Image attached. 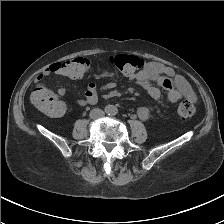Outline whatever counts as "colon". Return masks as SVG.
<instances>
[{
	"label": "colon",
	"instance_id": "5ec220e1",
	"mask_svg": "<svg viewBox=\"0 0 224 224\" xmlns=\"http://www.w3.org/2000/svg\"><path fill=\"white\" fill-rule=\"evenodd\" d=\"M108 61L124 75L135 73L144 66L142 59L126 54L112 55ZM90 65V60L85 57L63 61L61 62L62 75L71 79H79L89 71ZM31 101L38 110L51 117H60L66 111V105L44 86H37L33 89ZM178 112L182 118L187 119L195 115L196 108L191 101L184 100L180 103Z\"/></svg>",
	"mask_w": 224,
	"mask_h": 224
}]
</instances>
